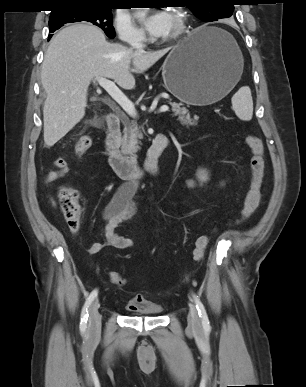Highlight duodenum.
Here are the masks:
<instances>
[{"mask_svg": "<svg viewBox=\"0 0 306 387\" xmlns=\"http://www.w3.org/2000/svg\"><path fill=\"white\" fill-rule=\"evenodd\" d=\"M108 133L105 139V153L108 163L113 171L122 179L133 182L145 175L157 176L159 174L158 160L163 150L167 147L169 139L164 134L154 137L144 160L140 165L132 156H125L119 149L121 124L118 115L110 114L107 117Z\"/></svg>", "mask_w": 306, "mask_h": 387, "instance_id": "1", "label": "duodenum"}]
</instances>
